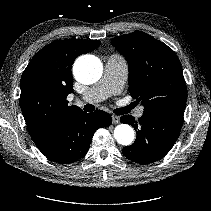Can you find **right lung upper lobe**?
Listing matches in <instances>:
<instances>
[{
    "label": "right lung upper lobe",
    "mask_w": 211,
    "mask_h": 211,
    "mask_svg": "<svg viewBox=\"0 0 211 211\" xmlns=\"http://www.w3.org/2000/svg\"><path fill=\"white\" fill-rule=\"evenodd\" d=\"M98 40L54 41L29 62L21 76L20 106L34 143L40 145L73 114L82 111L68 106L73 91L71 66L81 54L100 46Z\"/></svg>",
    "instance_id": "obj_1"
}]
</instances>
